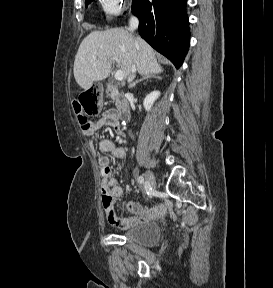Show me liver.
I'll list each match as a JSON object with an SVG mask.
<instances>
[{"label": "liver", "mask_w": 273, "mask_h": 288, "mask_svg": "<svg viewBox=\"0 0 273 288\" xmlns=\"http://www.w3.org/2000/svg\"><path fill=\"white\" fill-rule=\"evenodd\" d=\"M112 57L118 58L125 78L133 65L141 75L163 71L153 48L141 37H134L122 28L93 31L81 42L75 56L74 77L78 85L87 90L93 82L106 79L111 71Z\"/></svg>", "instance_id": "liver-1"}]
</instances>
